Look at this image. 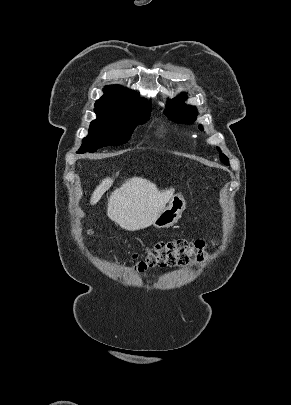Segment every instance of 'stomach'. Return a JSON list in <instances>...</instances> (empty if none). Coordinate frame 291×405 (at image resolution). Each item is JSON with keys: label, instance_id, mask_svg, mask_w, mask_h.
Masks as SVG:
<instances>
[{"label": "stomach", "instance_id": "stomach-1", "mask_svg": "<svg viewBox=\"0 0 291 405\" xmlns=\"http://www.w3.org/2000/svg\"><path fill=\"white\" fill-rule=\"evenodd\" d=\"M186 208V202L181 194L173 195L168 206L159 214L153 225L156 228H167L175 224Z\"/></svg>", "mask_w": 291, "mask_h": 405}]
</instances>
